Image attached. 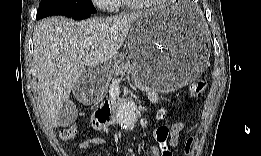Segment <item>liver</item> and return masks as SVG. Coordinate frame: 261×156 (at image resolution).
I'll list each match as a JSON object with an SVG mask.
<instances>
[{"label":"liver","mask_w":261,"mask_h":156,"mask_svg":"<svg viewBox=\"0 0 261 156\" xmlns=\"http://www.w3.org/2000/svg\"><path fill=\"white\" fill-rule=\"evenodd\" d=\"M142 14L133 12L81 22L56 16L35 25L33 44L39 98L49 125L59 126V113L75 84L88 69L117 55L133 23ZM81 54L85 57L79 58Z\"/></svg>","instance_id":"liver-1"}]
</instances>
